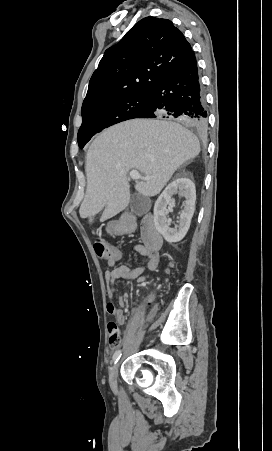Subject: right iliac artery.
Returning a JSON list of instances; mask_svg holds the SVG:
<instances>
[{"instance_id": "right-iliac-artery-1", "label": "right iliac artery", "mask_w": 272, "mask_h": 451, "mask_svg": "<svg viewBox=\"0 0 272 451\" xmlns=\"http://www.w3.org/2000/svg\"><path fill=\"white\" fill-rule=\"evenodd\" d=\"M121 350H117L115 353H114V355H113V361H114V363L116 364L117 363V361L120 359V357H121Z\"/></svg>"}]
</instances>
